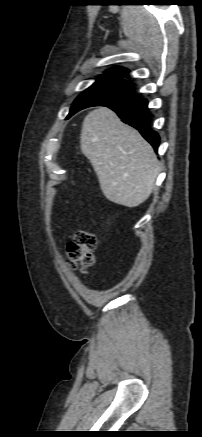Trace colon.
Masks as SVG:
<instances>
[{"mask_svg":"<svg viewBox=\"0 0 202 437\" xmlns=\"http://www.w3.org/2000/svg\"><path fill=\"white\" fill-rule=\"evenodd\" d=\"M97 245V239L93 233L88 230H79L75 233L73 239L67 244V258L70 264L82 272L94 264V249Z\"/></svg>","mask_w":202,"mask_h":437,"instance_id":"1","label":"colon"}]
</instances>
